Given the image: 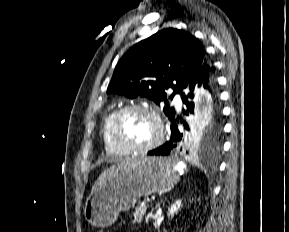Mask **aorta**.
<instances>
[{
  "instance_id": "aorta-1",
  "label": "aorta",
  "mask_w": 289,
  "mask_h": 232,
  "mask_svg": "<svg viewBox=\"0 0 289 232\" xmlns=\"http://www.w3.org/2000/svg\"><path fill=\"white\" fill-rule=\"evenodd\" d=\"M210 109V100L209 98L206 96L203 99V104H202V110H203V116L205 115V113H207Z\"/></svg>"
}]
</instances>
